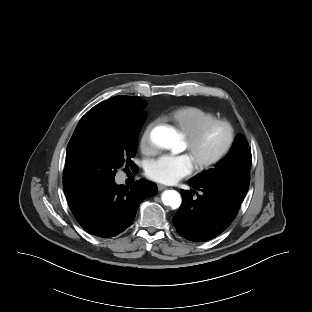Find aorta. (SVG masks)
Here are the masks:
<instances>
[{
  "instance_id": "obj_1",
  "label": "aorta",
  "mask_w": 312,
  "mask_h": 312,
  "mask_svg": "<svg viewBox=\"0 0 312 312\" xmlns=\"http://www.w3.org/2000/svg\"><path fill=\"white\" fill-rule=\"evenodd\" d=\"M151 140L154 144L163 148H173L175 138L171 130L165 126H157L151 132ZM162 202L172 209H177L181 205V196L175 190H167L162 194Z\"/></svg>"
}]
</instances>
